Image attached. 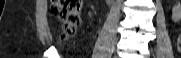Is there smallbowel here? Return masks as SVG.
<instances>
[{"label": "small bowel", "mask_w": 181, "mask_h": 58, "mask_svg": "<svg viewBox=\"0 0 181 58\" xmlns=\"http://www.w3.org/2000/svg\"><path fill=\"white\" fill-rule=\"evenodd\" d=\"M172 19L178 21L181 19V5L176 3L172 7Z\"/></svg>", "instance_id": "c3829d8e"}]
</instances>
